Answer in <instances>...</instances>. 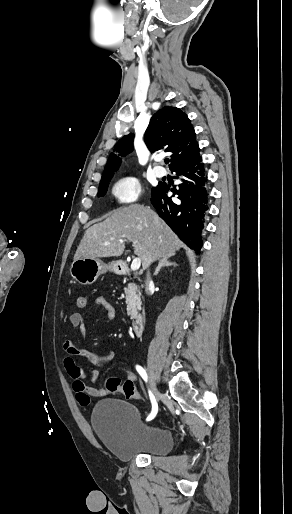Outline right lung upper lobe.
Instances as JSON below:
<instances>
[{
    "mask_svg": "<svg viewBox=\"0 0 292 514\" xmlns=\"http://www.w3.org/2000/svg\"><path fill=\"white\" fill-rule=\"evenodd\" d=\"M134 134L122 137L114 146L103 172L101 181L111 179L121 164V158L133 150ZM144 141L151 152L170 154L172 169L176 165L199 154L196 134L190 119L177 107L166 106L158 110L150 120L144 135Z\"/></svg>",
    "mask_w": 292,
    "mask_h": 514,
    "instance_id": "right-lung-upper-lobe-1",
    "label": "right lung upper lobe"
}]
</instances>
